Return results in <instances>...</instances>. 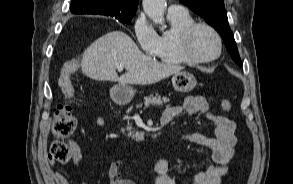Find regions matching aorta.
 Wrapping results in <instances>:
<instances>
[{"instance_id":"762f6f07","label":"aorta","mask_w":293,"mask_h":184,"mask_svg":"<svg viewBox=\"0 0 293 184\" xmlns=\"http://www.w3.org/2000/svg\"><path fill=\"white\" fill-rule=\"evenodd\" d=\"M166 0H143V10L156 24H164Z\"/></svg>"}]
</instances>
